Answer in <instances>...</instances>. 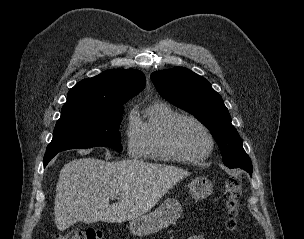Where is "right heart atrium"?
Wrapping results in <instances>:
<instances>
[{
	"instance_id": "d8ad5b80",
	"label": "right heart atrium",
	"mask_w": 304,
	"mask_h": 239,
	"mask_svg": "<svg viewBox=\"0 0 304 239\" xmlns=\"http://www.w3.org/2000/svg\"><path fill=\"white\" fill-rule=\"evenodd\" d=\"M125 143L127 151L132 156L140 154L142 149V140L137 123V119L130 113L125 126Z\"/></svg>"
}]
</instances>
